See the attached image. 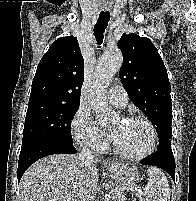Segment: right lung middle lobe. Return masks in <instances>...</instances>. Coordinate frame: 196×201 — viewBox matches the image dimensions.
<instances>
[{"label":"right lung middle lobe","mask_w":196,"mask_h":201,"mask_svg":"<svg viewBox=\"0 0 196 201\" xmlns=\"http://www.w3.org/2000/svg\"><path fill=\"white\" fill-rule=\"evenodd\" d=\"M80 103L62 104L43 100L29 101L22 145L37 139L73 144L70 123Z\"/></svg>","instance_id":"obj_1"}]
</instances>
